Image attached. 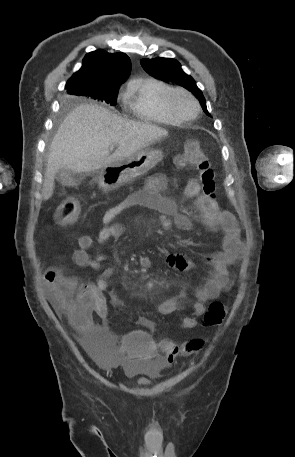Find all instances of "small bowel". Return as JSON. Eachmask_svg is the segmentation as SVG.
Instances as JSON below:
<instances>
[{
	"instance_id": "c3829d8e",
	"label": "small bowel",
	"mask_w": 295,
	"mask_h": 457,
	"mask_svg": "<svg viewBox=\"0 0 295 457\" xmlns=\"http://www.w3.org/2000/svg\"><path fill=\"white\" fill-rule=\"evenodd\" d=\"M168 186V179L164 176L150 179L144 188L127 197L119 205L111 208L104 215L102 226L97 236L98 244L102 245L111 238L121 237L124 227L120 223L113 222L114 218L125 209L133 206H144L158 211L163 217H170L174 224L184 233L191 229V221L178 211L175 202L163 195L161 191ZM183 194L186 198L194 200L198 211L204 222L213 230H220L223 234L221 250L206 256L205 260L211 266L210 277L203 287L196 291V301L193 304V315L185 316L182 319V326L185 329H192L197 326V318L206 311V302L214 300L221 293L230 289L232 282L229 278L228 267L239 257L242 251V241L240 229L235 217L228 211L221 209L214 199L207 198L201 191V185L196 179H189L184 187ZM93 244V238L83 235L78 239V248L73 252V261L79 267H90L98 270L106 260L104 255L91 258L88 249ZM167 264L179 271H186L192 268L193 263L181 254H170L166 258ZM139 263L143 267L151 264L150 258L141 256ZM114 267L105 268L100 274L96 284L85 286V296L88 300L85 314L78 318L69 317V323L75 330L78 338H107L106 327L94 323L92 314H96L103 321L107 320V302L104 292L109 289V279L114 274ZM46 285L51 294V299L55 307L59 303L55 294V280L48 271L45 275ZM110 299L115 307L123 309L126 307L124 300L115 290L109 291ZM185 295L178 294L157 305L156 311L161 315H168L175 312L181 299ZM139 323L154 330V324L147 318L141 317ZM169 341L163 342L160 347ZM120 359V358H119ZM170 364V363H167Z\"/></svg>"
}]
</instances>
